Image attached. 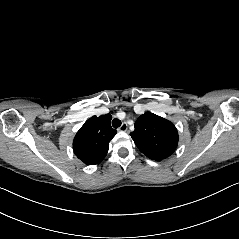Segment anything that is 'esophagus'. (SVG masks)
<instances>
[{
	"label": "esophagus",
	"mask_w": 239,
	"mask_h": 239,
	"mask_svg": "<svg viewBox=\"0 0 239 239\" xmlns=\"http://www.w3.org/2000/svg\"><path fill=\"white\" fill-rule=\"evenodd\" d=\"M127 129H128V126H127V123H122V125L119 127V131L120 132H126L127 131Z\"/></svg>",
	"instance_id": "obj_1"
}]
</instances>
